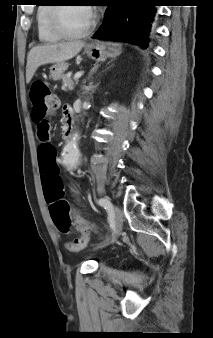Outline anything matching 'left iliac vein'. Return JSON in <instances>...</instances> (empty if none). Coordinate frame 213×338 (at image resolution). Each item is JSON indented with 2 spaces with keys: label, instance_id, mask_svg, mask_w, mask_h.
<instances>
[{
  "label": "left iliac vein",
  "instance_id": "left-iliac-vein-1",
  "mask_svg": "<svg viewBox=\"0 0 213 338\" xmlns=\"http://www.w3.org/2000/svg\"><path fill=\"white\" fill-rule=\"evenodd\" d=\"M112 207H113V214H114V221H115V229H114V233L111 235V237L104 242L105 245L114 242V240L121 233L122 226H123L122 211L117 206H112Z\"/></svg>",
  "mask_w": 213,
  "mask_h": 338
}]
</instances>
